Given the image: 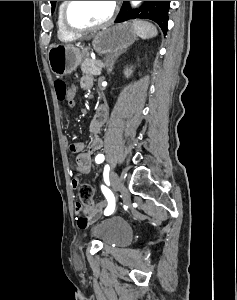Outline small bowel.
<instances>
[{
	"label": "small bowel",
	"instance_id": "c3829d8e",
	"mask_svg": "<svg viewBox=\"0 0 237 300\" xmlns=\"http://www.w3.org/2000/svg\"><path fill=\"white\" fill-rule=\"evenodd\" d=\"M81 87L85 90H90L93 87V79L89 75H85L81 78ZM69 96H76V88L71 87L69 89ZM108 109L106 106L101 105L97 108L91 122H90V134L91 140L88 148L86 149V144L83 141H78L71 143L68 148L69 151L74 155L73 163L71 164V169L83 174L90 172L92 168L91 157L93 154L98 152L103 145V141L100 137V132L107 122ZM79 184L77 177L72 178V186L76 188ZM105 207V202H100L96 205V214L92 217H87L82 215V208L80 205H76V214L79 216L77 220L78 227L81 229L89 226L94 219L97 217L100 211Z\"/></svg>",
	"mask_w": 237,
	"mask_h": 300
}]
</instances>
